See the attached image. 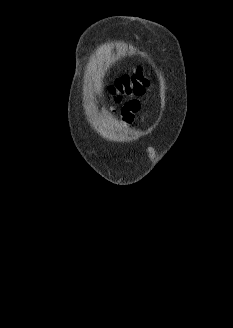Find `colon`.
I'll return each instance as SVG.
<instances>
[{"instance_id":"colon-1","label":"colon","mask_w":233,"mask_h":328,"mask_svg":"<svg viewBox=\"0 0 233 328\" xmlns=\"http://www.w3.org/2000/svg\"><path fill=\"white\" fill-rule=\"evenodd\" d=\"M148 84V77H146L141 68H138L132 74H125L117 78L115 82L108 88V92L117 102L123 95L143 94Z\"/></svg>"}]
</instances>
